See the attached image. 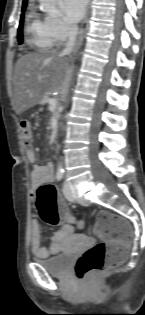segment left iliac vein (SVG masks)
<instances>
[{
    "instance_id": "1",
    "label": "left iliac vein",
    "mask_w": 145,
    "mask_h": 315,
    "mask_svg": "<svg viewBox=\"0 0 145 315\" xmlns=\"http://www.w3.org/2000/svg\"><path fill=\"white\" fill-rule=\"evenodd\" d=\"M63 194L68 201L73 202L75 200L74 194H73L72 189L70 187V184L68 182H64Z\"/></svg>"
}]
</instances>
